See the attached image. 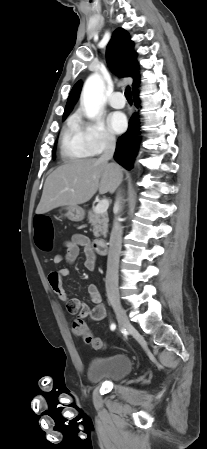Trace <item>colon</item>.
<instances>
[{"instance_id":"1","label":"colon","mask_w":207,"mask_h":449,"mask_svg":"<svg viewBox=\"0 0 207 449\" xmlns=\"http://www.w3.org/2000/svg\"><path fill=\"white\" fill-rule=\"evenodd\" d=\"M34 238L41 251L48 252L53 248V225L46 215L36 217ZM72 331L76 336L82 337L95 350H102L105 347L103 340L91 334L86 323L80 318L72 321Z\"/></svg>"}]
</instances>
